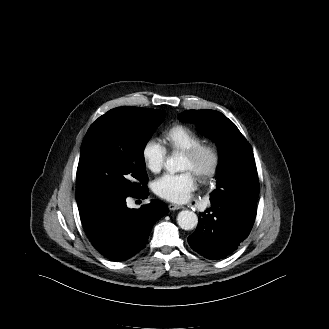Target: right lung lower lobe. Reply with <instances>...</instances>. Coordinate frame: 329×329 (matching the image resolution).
Instances as JSON below:
<instances>
[{"label": "right lung lower lobe", "instance_id": "obj_1", "mask_svg": "<svg viewBox=\"0 0 329 329\" xmlns=\"http://www.w3.org/2000/svg\"><path fill=\"white\" fill-rule=\"evenodd\" d=\"M147 187L137 195L114 190H96L79 199L83 228L93 246L113 261H123L138 253L147 243L150 231L168 212L165 203L152 200L140 209H129L126 198H146Z\"/></svg>", "mask_w": 329, "mask_h": 329}]
</instances>
